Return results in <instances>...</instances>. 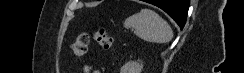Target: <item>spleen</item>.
<instances>
[{"mask_svg": "<svg viewBox=\"0 0 244 73\" xmlns=\"http://www.w3.org/2000/svg\"><path fill=\"white\" fill-rule=\"evenodd\" d=\"M126 29H132L134 34L150 43H168L173 38L171 26L155 11L142 9L124 21Z\"/></svg>", "mask_w": 244, "mask_h": 73, "instance_id": "3e777b00", "label": "spleen"}]
</instances>
